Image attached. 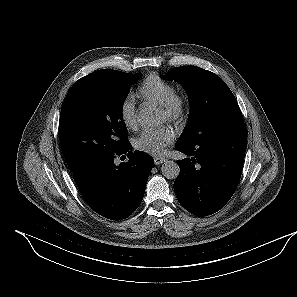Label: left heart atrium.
<instances>
[{
	"label": "left heart atrium",
	"mask_w": 297,
	"mask_h": 297,
	"mask_svg": "<svg viewBox=\"0 0 297 297\" xmlns=\"http://www.w3.org/2000/svg\"><path fill=\"white\" fill-rule=\"evenodd\" d=\"M174 140V132L168 126L146 129L134 139V147L150 155H162Z\"/></svg>",
	"instance_id": "left-heart-atrium-1"
}]
</instances>
